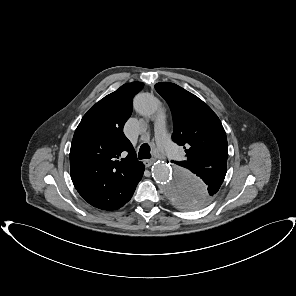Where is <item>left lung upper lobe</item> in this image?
I'll list each match as a JSON object with an SVG mask.
<instances>
[{"instance_id":"left-lung-upper-lobe-1","label":"left lung upper lobe","mask_w":296,"mask_h":296,"mask_svg":"<svg viewBox=\"0 0 296 296\" xmlns=\"http://www.w3.org/2000/svg\"><path fill=\"white\" fill-rule=\"evenodd\" d=\"M155 89L171 109L175 126L173 140L186 149V161L172 162L197 176L205 171V168H211V172L226 169L227 137L221 121L211 108L197 96L174 83L159 82ZM206 190L207 187L203 191ZM195 194L194 191L178 190L173 194V202L182 209H199L204 205L196 204ZM206 195L207 202L214 197L210 193Z\"/></svg>"}]
</instances>
